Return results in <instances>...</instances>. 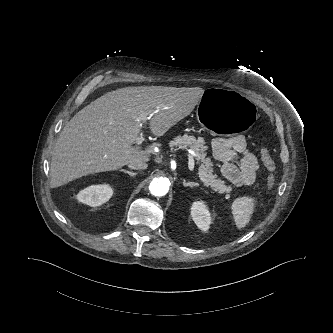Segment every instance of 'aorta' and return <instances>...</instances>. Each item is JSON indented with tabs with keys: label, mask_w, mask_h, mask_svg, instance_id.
Instances as JSON below:
<instances>
[{
	"label": "aorta",
	"mask_w": 333,
	"mask_h": 333,
	"mask_svg": "<svg viewBox=\"0 0 333 333\" xmlns=\"http://www.w3.org/2000/svg\"><path fill=\"white\" fill-rule=\"evenodd\" d=\"M170 183L166 178H154L149 185V190L156 197L165 196L169 191Z\"/></svg>",
	"instance_id": "762f6f07"
}]
</instances>
